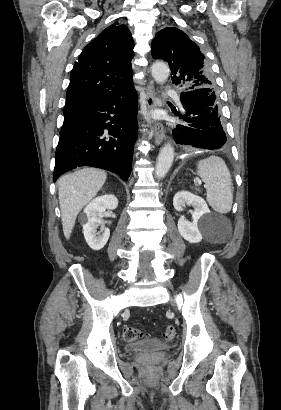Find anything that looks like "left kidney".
I'll list each match as a JSON object with an SVG mask.
<instances>
[{"mask_svg": "<svg viewBox=\"0 0 281 410\" xmlns=\"http://www.w3.org/2000/svg\"><path fill=\"white\" fill-rule=\"evenodd\" d=\"M186 205L194 208L193 221L189 222L184 216L178 220L180 235L190 243H198L203 239L202 231L211 223L210 210L205 200L188 191L177 192L173 198V206L177 211H182Z\"/></svg>", "mask_w": 281, "mask_h": 410, "instance_id": "1", "label": "left kidney"}]
</instances>
